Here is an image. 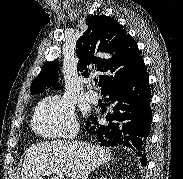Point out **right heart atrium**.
<instances>
[{
  "label": "right heart atrium",
  "mask_w": 183,
  "mask_h": 179,
  "mask_svg": "<svg viewBox=\"0 0 183 179\" xmlns=\"http://www.w3.org/2000/svg\"><path fill=\"white\" fill-rule=\"evenodd\" d=\"M32 125L37 133L47 138L74 134L78 129V122L72 101L61 95L43 99L35 109Z\"/></svg>",
  "instance_id": "right-heart-atrium-1"
}]
</instances>
